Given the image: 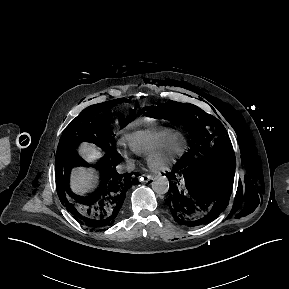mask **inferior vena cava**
<instances>
[{
  "mask_svg": "<svg viewBox=\"0 0 289 289\" xmlns=\"http://www.w3.org/2000/svg\"><path fill=\"white\" fill-rule=\"evenodd\" d=\"M117 170L119 173L131 172L134 170V164L133 163H127L124 166H118Z\"/></svg>",
  "mask_w": 289,
  "mask_h": 289,
  "instance_id": "inferior-vena-cava-1",
  "label": "inferior vena cava"
}]
</instances>
